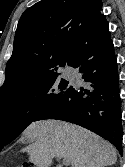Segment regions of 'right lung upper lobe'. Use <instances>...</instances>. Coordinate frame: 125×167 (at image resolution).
<instances>
[{"mask_svg": "<svg viewBox=\"0 0 125 167\" xmlns=\"http://www.w3.org/2000/svg\"><path fill=\"white\" fill-rule=\"evenodd\" d=\"M101 0H41L21 16L6 65L0 100L75 67L82 52L108 28Z\"/></svg>", "mask_w": 125, "mask_h": 167, "instance_id": "cb5924a9", "label": "right lung upper lobe"}]
</instances>
